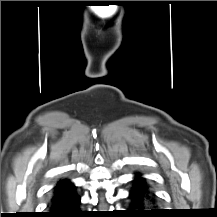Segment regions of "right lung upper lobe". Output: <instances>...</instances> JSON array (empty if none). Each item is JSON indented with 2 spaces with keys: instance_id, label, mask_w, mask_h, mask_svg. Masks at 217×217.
Listing matches in <instances>:
<instances>
[{
  "instance_id": "right-lung-upper-lobe-1",
  "label": "right lung upper lobe",
  "mask_w": 217,
  "mask_h": 217,
  "mask_svg": "<svg viewBox=\"0 0 217 217\" xmlns=\"http://www.w3.org/2000/svg\"><path fill=\"white\" fill-rule=\"evenodd\" d=\"M73 186H74L73 183L70 182L69 180H60L57 183L56 187L54 188L53 193L56 194V193L68 190Z\"/></svg>"
}]
</instances>
